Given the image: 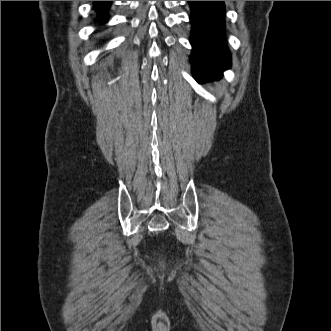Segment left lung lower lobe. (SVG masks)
<instances>
[{"instance_id":"1","label":"left lung lower lobe","mask_w":331,"mask_h":331,"mask_svg":"<svg viewBox=\"0 0 331 331\" xmlns=\"http://www.w3.org/2000/svg\"><path fill=\"white\" fill-rule=\"evenodd\" d=\"M191 7L193 74L198 82L219 79L231 66L224 38V2L188 1Z\"/></svg>"}]
</instances>
